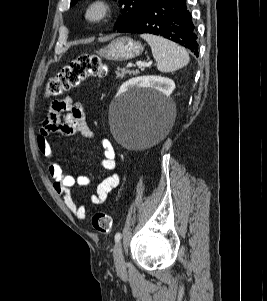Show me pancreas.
I'll return each instance as SVG.
<instances>
[{
	"label": "pancreas",
	"mask_w": 267,
	"mask_h": 301,
	"mask_svg": "<svg viewBox=\"0 0 267 301\" xmlns=\"http://www.w3.org/2000/svg\"><path fill=\"white\" fill-rule=\"evenodd\" d=\"M136 75L138 74L137 71H132V70H126L125 68L123 69H118V71H116V78H123L125 75Z\"/></svg>",
	"instance_id": "1"
}]
</instances>
